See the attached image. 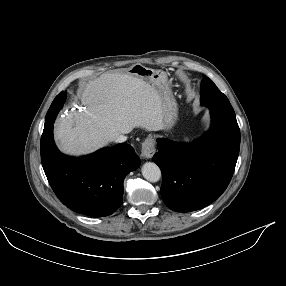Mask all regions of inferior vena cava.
<instances>
[{
    "label": "inferior vena cava",
    "instance_id": "obj_1",
    "mask_svg": "<svg viewBox=\"0 0 286 286\" xmlns=\"http://www.w3.org/2000/svg\"><path fill=\"white\" fill-rule=\"evenodd\" d=\"M126 140H127V137L122 134L113 139V141L116 143H122V142H125Z\"/></svg>",
    "mask_w": 286,
    "mask_h": 286
}]
</instances>
